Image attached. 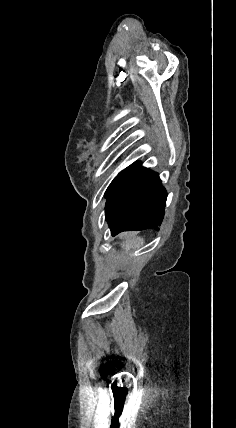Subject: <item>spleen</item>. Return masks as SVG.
<instances>
[{
  "label": "spleen",
  "instance_id": "3e777b00",
  "mask_svg": "<svg viewBox=\"0 0 236 428\" xmlns=\"http://www.w3.org/2000/svg\"><path fill=\"white\" fill-rule=\"evenodd\" d=\"M143 242L144 240L136 236V234H129L128 240L124 244H121V246L124 250H131V248H141Z\"/></svg>",
  "mask_w": 236,
  "mask_h": 428
}]
</instances>
